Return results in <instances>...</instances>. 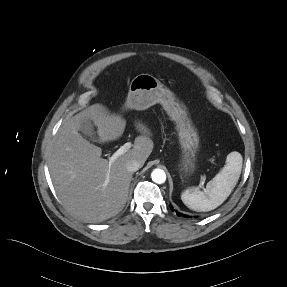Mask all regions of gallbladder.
<instances>
[{
	"label": "gallbladder",
	"instance_id": "1",
	"mask_svg": "<svg viewBox=\"0 0 287 287\" xmlns=\"http://www.w3.org/2000/svg\"><path fill=\"white\" fill-rule=\"evenodd\" d=\"M79 131L91 140L95 139V130L90 119L84 118L81 120Z\"/></svg>",
	"mask_w": 287,
	"mask_h": 287
}]
</instances>
